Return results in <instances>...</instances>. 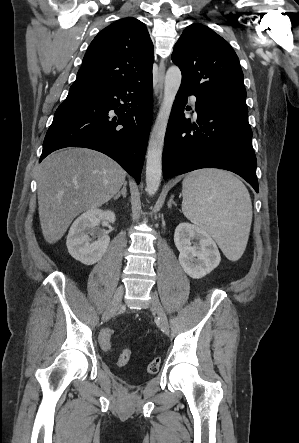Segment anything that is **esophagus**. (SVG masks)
<instances>
[{
	"instance_id": "34e87169",
	"label": "esophagus",
	"mask_w": 299,
	"mask_h": 443,
	"mask_svg": "<svg viewBox=\"0 0 299 443\" xmlns=\"http://www.w3.org/2000/svg\"><path fill=\"white\" fill-rule=\"evenodd\" d=\"M164 74H165V66H164V63L161 62L160 66H159L158 80H157V91H156V95H157L159 102L161 101V98H162Z\"/></svg>"
}]
</instances>
